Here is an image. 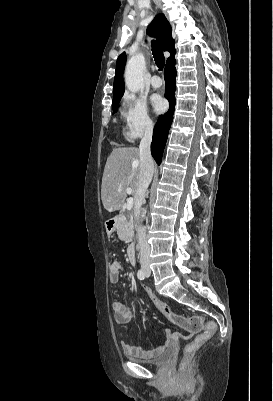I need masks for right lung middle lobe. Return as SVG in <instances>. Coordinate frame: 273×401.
Listing matches in <instances>:
<instances>
[{
	"mask_svg": "<svg viewBox=\"0 0 273 401\" xmlns=\"http://www.w3.org/2000/svg\"><path fill=\"white\" fill-rule=\"evenodd\" d=\"M117 107H113V112L115 113Z\"/></svg>",
	"mask_w": 273,
	"mask_h": 401,
	"instance_id": "1",
	"label": "right lung middle lobe"
}]
</instances>
